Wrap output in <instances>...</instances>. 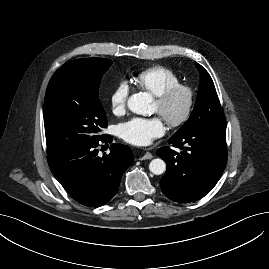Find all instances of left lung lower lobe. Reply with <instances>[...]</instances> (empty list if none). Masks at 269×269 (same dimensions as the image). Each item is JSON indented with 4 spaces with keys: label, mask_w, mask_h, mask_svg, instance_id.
<instances>
[{
    "label": "left lung lower lobe",
    "mask_w": 269,
    "mask_h": 269,
    "mask_svg": "<svg viewBox=\"0 0 269 269\" xmlns=\"http://www.w3.org/2000/svg\"><path fill=\"white\" fill-rule=\"evenodd\" d=\"M168 142L182 151L178 154L167 146L157 150L167 164L160 181L162 192L176 202L201 199L216 185L225 169L226 124L194 127Z\"/></svg>",
    "instance_id": "1"
}]
</instances>
